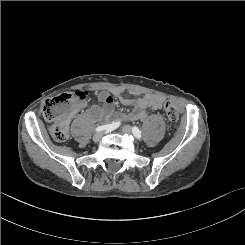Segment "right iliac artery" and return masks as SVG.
<instances>
[{
	"label": "right iliac artery",
	"instance_id": "82829eb1",
	"mask_svg": "<svg viewBox=\"0 0 245 245\" xmlns=\"http://www.w3.org/2000/svg\"><path fill=\"white\" fill-rule=\"evenodd\" d=\"M120 121H116V122H112L111 124H106V125H103V126H99L95 129L96 132H100V131H111V130H114L116 129L117 127L120 126Z\"/></svg>",
	"mask_w": 245,
	"mask_h": 245
}]
</instances>
